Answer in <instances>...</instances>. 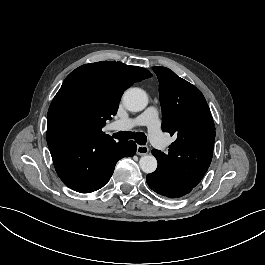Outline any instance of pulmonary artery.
Wrapping results in <instances>:
<instances>
[{
	"instance_id": "obj_1",
	"label": "pulmonary artery",
	"mask_w": 265,
	"mask_h": 265,
	"mask_svg": "<svg viewBox=\"0 0 265 265\" xmlns=\"http://www.w3.org/2000/svg\"><path fill=\"white\" fill-rule=\"evenodd\" d=\"M158 106L156 104H149L146 111L139 117H125L115 122V130L117 132H124L125 130H138L146 127L152 130L149 133V140L154 148H162L165 145V138L159 130L158 120Z\"/></svg>"
}]
</instances>
